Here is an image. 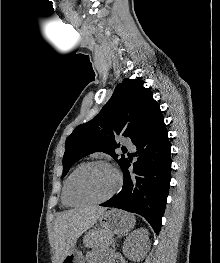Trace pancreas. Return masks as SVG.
<instances>
[{
	"instance_id": "pancreas-1",
	"label": "pancreas",
	"mask_w": 220,
	"mask_h": 263,
	"mask_svg": "<svg viewBox=\"0 0 220 263\" xmlns=\"http://www.w3.org/2000/svg\"><path fill=\"white\" fill-rule=\"evenodd\" d=\"M109 239L110 238L108 237L105 231L94 230L84 237L83 243L86 247L105 249Z\"/></svg>"
}]
</instances>
